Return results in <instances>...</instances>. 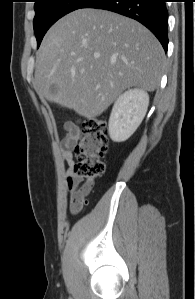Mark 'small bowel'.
Listing matches in <instances>:
<instances>
[{"mask_svg":"<svg viewBox=\"0 0 195 299\" xmlns=\"http://www.w3.org/2000/svg\"><path fill=\"white\" fill-rule=\"evenodd\" d=\"M65 129H66V136L63 141L64 151L62 156H63V160L69 166L68 170L66 171V177H67L68 187L71 190L73 178H74V173L72 170V166L74 164L72 149L74 148V146L76 145L80 137L81 130L79 125L76 123H67Z\"/></svg>","mask_w":195,"mask_h":299,"instance_id":"obj_1","label":"small bowel"}]
</instances>
